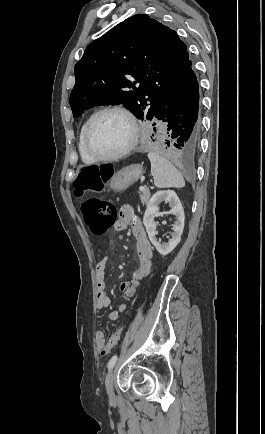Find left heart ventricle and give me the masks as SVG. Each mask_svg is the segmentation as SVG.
<instances>
[{"label": "left heart ventricle", "mask_w": 265, "mask_h": 434, "mask_svg": "<svg viewBox=\"0 0 265 434\" xmlns=\"http://www.w3.org/2000/svg\"><path fill=\"white\" fill-rule=\"evenodd\" d=\"M132 127L128 118L120 112H108L97 121L92 136L93 147L103 155H113L130 143Z\"/></svg>", "instance_id": "b2bd125f"}]
</instances>
